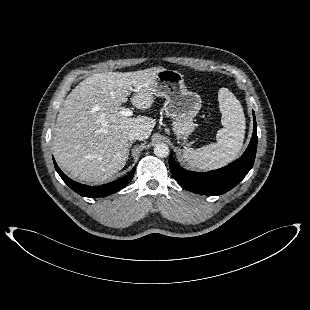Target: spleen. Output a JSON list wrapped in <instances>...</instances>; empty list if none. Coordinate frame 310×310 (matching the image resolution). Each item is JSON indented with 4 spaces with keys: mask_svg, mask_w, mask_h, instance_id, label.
Segmentation results:
<instances>
[{
    "mask_svg": "<svg viewBox=\"0 0 310 310\" xmlns=\"http://www.w3.org/2000/svg\"><path fill=\"white\" fill-rule=\"evenodd\" d=\"M218 100L223 128L217 131V142L198 149H183L188 164L200 170L227 165L237 158L243 145L246 124L241 103L226 88L220 89Z\"/></svg>",
    "mask_w": 310,
    "mask_h": 310,
    "instance_id": "obj_1",
    "label": "spleen"
}]
</instances>
